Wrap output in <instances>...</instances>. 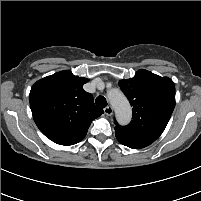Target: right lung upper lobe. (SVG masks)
Segmentation results:
<instances>
[{"mask_svg": "<svg viewBox=\"0 0 201 201\" xmlns=\"http://www.w3.org/2000/svg\"><path fill=\"white\" fill-rule=\"evenodd\" d=\"M89 80L61 71L37 81L30 91V107L41 132L60 145H73L86 135L91 121L104 113L83 89Z\"/></svg>", "mask_w": 201, "mask_h": 201, "instance_id": "right-lung-upper-lobe-1", "label": "right lung upper lobe"}]
</instances>
